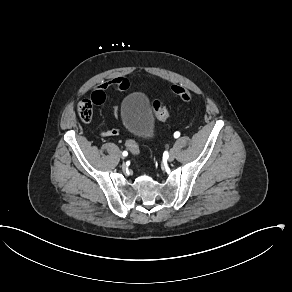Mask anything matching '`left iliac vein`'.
Listing matches in <instances>:
<instances>
[{
    "label": "left iliac vein",
    "mask_w": 292,
    "mask_h": 292,
    "mask_svg": "<svg viewBox=\"0 0 292 292\" xmlns=\"http://www.w3.org/2000/svg\"><path fill=\"white\" fill-rule=\"evenodd\" d=\"M175 159V151L174 150H171L170 152H169V154H168V158H167V160L169 161V162H171V161H173Z\"/></svg>",
    "instance_id": "left-iliac-vein-1"
}]
</instances>
